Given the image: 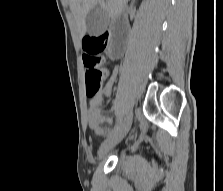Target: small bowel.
Here are the masks:
<instances>
[{"label":"small bowel","mask_w":223,"mask_h":191,"mask_svg":"<svg viewBox=\"0 0 223 191\" xmlns=\"http://www.w3.org/2000/svg\"><path fill=\"white\" fill-rule=\"evenodd\" d=\"M118 73L117 67H112L110 76L106 80L102 90L90 100V106L87 111V121L89 127L98 135L105 136L110 131V125L114 123L113 118L107 117L100 109L104 99L111 95L112 86ZM106 124V126H103Z\"/></svg>","instance_id":"1"}]
</instances>
